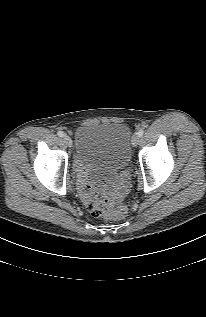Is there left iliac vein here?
I'll return each mask as SVG.
<instances>
[{
    "instance_id": "left-iliac-vein-1",
    "label": "left iliac vein",
    "mask_w": 206,
    "mask_h": 317,
    "mask_svg": "<svg viewBox=\"0 0 206 317\" xmlns=\"http://www.w3.org/2000/svg\"><path fill=\"white\" fill-rule=\"evenodd\" d=\"M140 136L138 133L134 134L132 137V145L135 147L139 144Z\"/></svg>"
}]
</instances>
